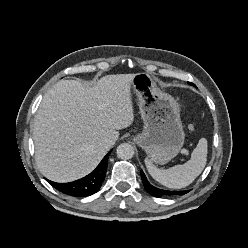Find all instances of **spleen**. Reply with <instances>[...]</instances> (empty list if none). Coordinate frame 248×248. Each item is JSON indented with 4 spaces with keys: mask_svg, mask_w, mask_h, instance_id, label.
<instances>
[{
    "mask_svg": "<svg viewBox=\"0 0 248 248\" xmlns=\"http://www.w3.org/2000/svg\"><path fill=\"white\" fill-rule=\"evenodd\" d=\"M207 140L201 138L191 154L190 160L182 165H175L169 169L157 168L149 159H145L149 174L160 184L181 189L190 185L203 171L207 161Z\"/></svg>",
    "mask_w": 248,
    "mask_h": 248,
    "instance_id": "3e777b00",
    "label": "spleen"
}]
</instances>
